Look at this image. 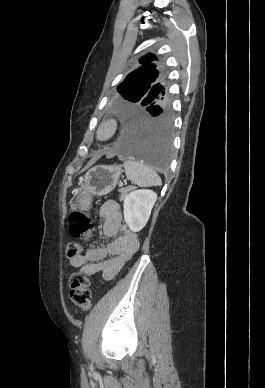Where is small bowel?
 <instances>
[{"instance_id": "c3829d8e", "label": "small bowel", "mask_w": 265, "mask_h": 388, "mask_svg": "<svg viewBox=\"0 0 265 388\" xmlns=\"http://www.w3.org/2000/svg\"><path fill=\"white\" fill-rule=\"evenodd\" d=\"M99 216L103 219L104 236L112 240L70 259V265L86 276L101 273L104 280H111L138 250L139 240L137 234L123 224L121 208L116 201L104 202Z\"/></svg>"}]
</instances>
